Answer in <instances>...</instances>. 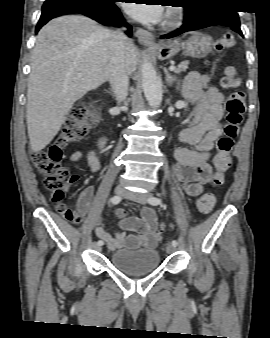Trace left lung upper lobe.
Wrapping results in <instances>:
<instances>
[{"mask_svg":"<svg viewBox=\"0 0 270 338\" xmlns=\"http://www.w3.org/2000/svg\"><path fill=\"white\" fill-rule=\"evenodd\" d=\"M229 0H185L183 3L186 21H192L202 14L226 5Z\"/></svg>","mask_w":270,"mask_h":338,"instance_id":"obj_1","label":"left lung upper lobe"}]
</instances>
